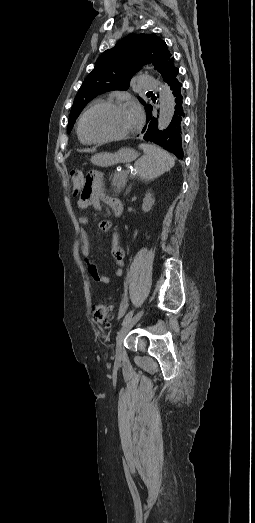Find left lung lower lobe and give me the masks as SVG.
I'll return each instance as SVG.
<instances>
[{
  "mask_svg": "<svg viewBox=\"0 0 255 523\" xmlns=\"http://www.w3.org/2000/svg\"><path fill=\"white\" fill-rule=\"evenodd\" d=\"M167 89L174 94L173 101L176 103L174 109L173 121L168 123L169 128L158 129V117L156 115H150L148 117V125L144 129H141L139 137L141 140H151L154 145H160L161 147L173 153L179 162H184L186 157L182 148V119L184 116V97L182 88L184 81H180L179 77L174 76L172 80L167 82ZM146 111V110H145Z\"/></svg>",
  "mask_w": 255,
  "mask_h": 523,
  "instance_id": "0a47b994",
  "label": "left lung lower lobe"
}]
</instances>
